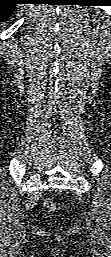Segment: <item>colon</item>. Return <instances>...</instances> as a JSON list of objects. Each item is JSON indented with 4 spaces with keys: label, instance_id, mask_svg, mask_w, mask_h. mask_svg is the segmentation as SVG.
I'll return each instance as SVG.
<instances>
[{
    "label": "colon",
    "instance_id": "colon-1",
    "mask_svg": "<svg viewBox=\"0 0 111 257\" xmlns=\"http://www.w3.org/2000/svg\"><path fill=\"white\" fill-rule=\"evenodd\" d=\"M46 205L51 207V208L55 207V203L52 199H47L46 200Z\"/></svg>",
    "mask_w": 111,
    "mask_h": 257
}]
</instances>
